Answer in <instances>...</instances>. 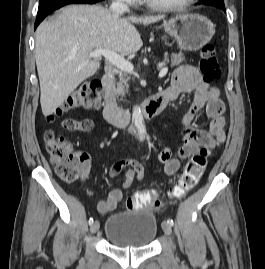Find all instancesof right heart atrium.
Wrapping results in <instances>:
<instances>
[{
  "label": "right heart atrium",
  "instance_id": "d8ad5b80",
  "mask_svg": "<svg viewBox=\"0 0 265 269\" xmlns=\"http://www.w3.org/2000/svg\"><path fill=\"white\" fill-rule=\"evenodd\" d=\"M117 1L125 2V3H131V2H133L135 0H117Z\"/></svg>",
  "mask_w": 265,
  "mask_h": 269
}]
</instances>
